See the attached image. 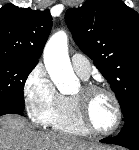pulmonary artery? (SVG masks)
<instances>
[{"mask_svg":"<svg viewBox=\"0 0 139 150\" xmlns=\"http://www.w3.org/2000/svg\"><path fill=\"white\" fill-rule=\"evenodd\" d=\"M71 62L74 71L79 76L85 80L89 79L92 73V67L89 60L85 56L81 54H74L71 58Z\"/></svg>","mask_w":139,"mask_h":150,"instance_id":"e3ab8cb5","label":"pulmonary artery"}]
</instances>
